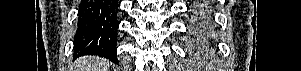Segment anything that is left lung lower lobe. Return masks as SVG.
Here are the masks:
<instances>
[{
    "label": "left lung lower lobe",
    "mask_w": 301,
    "mask_h": 71,
    "mask_svg": "<svg viewBox=\"0 0 301 71\" xmlns=\"http://www.w3.org/2000/svg\"><path fill=\"white\" fill-rule=\"evenodd\" d=\"M209 18L206 13L199 12L195 19L194 37L201 43H206L210 38Z\"/></svg>",
    "instance_id": "1"
}]
</instances>
